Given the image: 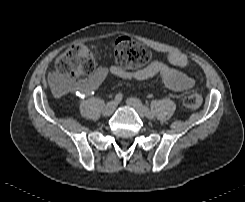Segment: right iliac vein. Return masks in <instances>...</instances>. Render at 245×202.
<instances>
[{
  "label": "right iliac vein",
  "mask_w": 245,
  "mask_h": 202,
  "mask_svg": "<svg viewBox=\"0 0 245 202\" xmlns=\"http://www.w3.org/2000/svg\"><path fill=\"white\" fill-rule=\"evenodd\" d=\"M116 106L117 103L115 101L108 102L102 110V115L105 117L110 116L114 112Z\"/></svg>",
  "instance_id": "right-iliac-vein-1"
}]
</instances>
